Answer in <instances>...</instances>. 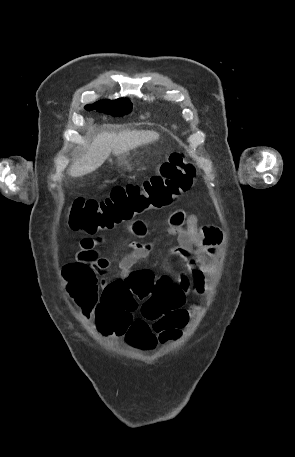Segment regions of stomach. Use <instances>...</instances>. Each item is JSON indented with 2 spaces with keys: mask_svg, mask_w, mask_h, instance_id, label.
I'll return each mask as SVG.
<instances>
[{
  "mask_svg": "<svg viewBox=\"0 0 295 457\" xmlns=\"http://www.w3.org/2000/svg\"><path fill=\"white\" fill-rule=\"evenodd\" d=\"M121 158L123 159V158H124V155H123V156H121Z\"/></svg>",
  "mask_w": 295,
  "mask_h": 457,
  "instance_id": "stomach-1",
  "label": "stomach"
}]
</instances>
